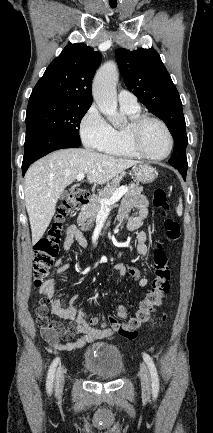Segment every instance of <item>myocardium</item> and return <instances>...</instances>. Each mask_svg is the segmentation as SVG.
Returning a JSON list of instances; mask_svg holds the SVG:
<instances>
[{
  "label": "myocardium",
  "mask_w": 213,
  "mask_h": 433,
  "mask_svg": "<svg viewBox=\"0 0 213 433\" xmlns=\"http://www.w3.org/2000/svg\"><path fill=\"white\" fill-rule=\"evenodd\" d=\"M148 122H155L159 124L166 132L169 139V149L166 154L162 156L151 155L146 152L141 144V131L144 125ZM126 138L130 147L141 157L151 159V160H164L168 158L174 148V137L168 127V125L160 118L149 116V115H139L129 121L125 127Z\"/></svg>",
  "instance_id": "myocardium-1"
}]
</instances>
